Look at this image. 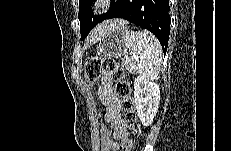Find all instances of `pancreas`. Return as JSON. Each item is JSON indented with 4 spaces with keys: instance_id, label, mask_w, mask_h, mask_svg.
<instances>
[{
    "instance_id": "1",
    "label": "pancreas",
    "mask_w": 231,
    "mask_h": 151,
    "mask_svg": "<svg viewBox=\"0 0 231 151\" xmlns=\"http://www.w3.org/2000/svg\"><path fill=\"white\" fill-rule=\"evenodd\" d=\"M126 70L128 71V73H134V66H133V62H126L125 64Z\"/></svg>"
}]
</instances>
